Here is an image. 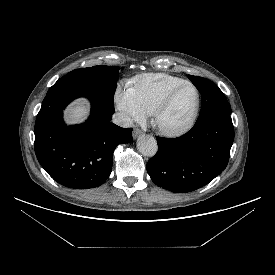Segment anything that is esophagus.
<instances>
[{
    "label": "esophagus",
    "instance_id": "esophagus-1",
    "mask_svg": "<svg viewBox=\"0 0 275 275\" xmlns=\"http://www.w3.org/2000/svg\"><path fill=\"white\" fill-rule=\"evenodd\" d=\"M141 134H142V131L140 129H134L133 138L136 139Z\"/></svg>",
    "mask_w": 275,
    "mask_h": 275
}]
</instances>
